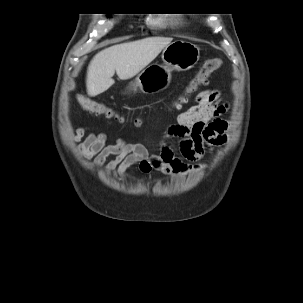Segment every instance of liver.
I'll use <instances>...</instances> for the list:
<instances>
[{
    "label": "liver",
    "instance_id": "1",
    "mask_svg": "<svg viewBox=\"0 0 303 303\" xmlns=\"http://www.w3.org/2000/svg\"><path fill=\"white\" fill-rule=\"evenodd\" d=\"M172 42L169 37H148L121 43L97 53L91 60L86 79L87 92L95 97L109 89L115 71L121 80L137 75Z\"/></svg>",
    "mask_w": 303,
    "mask_h": 303
}]
</instances>
